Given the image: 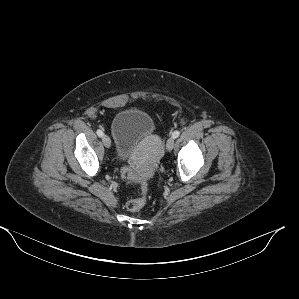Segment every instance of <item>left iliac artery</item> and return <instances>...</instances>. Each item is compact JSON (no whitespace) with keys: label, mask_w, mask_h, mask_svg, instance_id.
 <instances>
[{"label":"left iliac artery","mask_w":299,"mask_h":299,"mask_svg":"<svg viewBox=\"0 0 299 299\" xmlns=\"http://www.w3.org/2000/svg\"><path fill=\"white\" fill-rule=\"evenodd\" d=\"M179 135H180V132L176 130L173 132L172 137L177 138Z\"/></svg>","instance_id":"44dca946"}]
</instances>
